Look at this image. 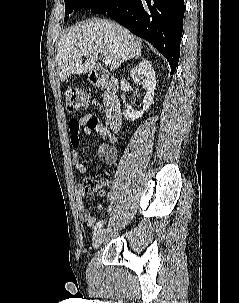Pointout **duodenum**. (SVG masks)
<instances>
[{
    "label": "duodenum",
    "mask_w": 239,
    "mask_h": 303,
    "mask_svg": "<svg viewBox=\"0 0 239 303\" xmlns=\"http://www.w3.org/2000/svg\"><path fill=\"white\" fill-rule=\"evenodd\" d=\"M90 80L93 85L104 91L105 116L112 130H119L122 125L121 103L118 97L119 83L114 77L104 78L97 71H92Z\"/></svg>",
    "instance_id": "1"
}]
</instances>
